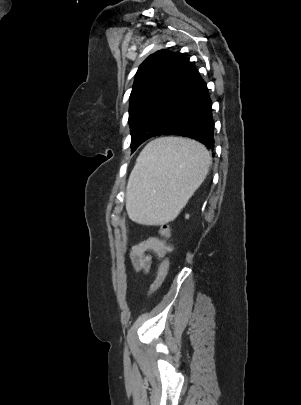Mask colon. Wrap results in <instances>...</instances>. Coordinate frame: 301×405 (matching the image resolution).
I'll use <instances>...</instances> for the list:
<instances>
[{
  "label": "colon",
  "mask_w": 301,
  "mask_h": 405,
  "mask_svg": "<svg viewBox=\"0 0 301 405\" xmlns=\"http://www.w3.org/2000/svg\"><path fill=\"white\" fill-rule=\"evenodd\" d=\"M160 234L164 236L165 238H170L171 237V228L167 224H162L159 228ZM169 269V258L166 257L164 258L158 268L157 276L152 285L150 286V289L148 290L146 297H150L164 282L167 272Z\"/></svg>",
  "instance_id": "colon-1"
}]
</instances>
